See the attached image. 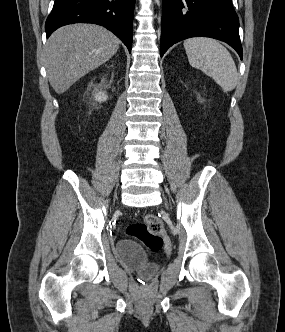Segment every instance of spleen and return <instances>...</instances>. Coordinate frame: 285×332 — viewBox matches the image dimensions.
Segmentation results:
<instances>
[{
    "mask_svg": "<svg viewBox=\"0 0 285 332\" xmlns=\"http://www.w3.org/2000/svg\"><path fill=\"white\" fill-rule=\"evenodd\" d=\"M184 48L190 65L212 77L223 91L236 87V65L229 51L218 41L206 37L190 38L184 41Z\"/></svg>",
    "mask_w": 285,
    "mask_h": 332,
    "instance_id": "obj_1",
    "label": "spleen"
}]
</instances>
